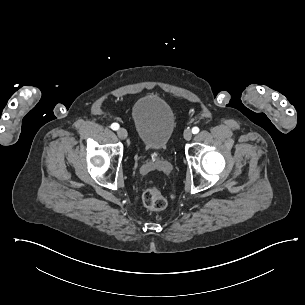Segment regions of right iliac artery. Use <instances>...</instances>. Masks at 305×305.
I'll list each match as a JSON object with an SVG mask.
<instances>
[{"mask_svg": "<svg viewBox=\"0 0 305 305\" xmlns=\"http://www.w3.org/2000/svg\"><path fill=\"white\" fill-rule=\"evenodd\" d=\"M111 128H112L113 130H117V129L119 128V124H118V123H113V124L111 125Z\"/></svg>", "mask_w": 305, "mask_h": 305, "instance_id": "obj_1", "label": "right iliac artery"}]
</instances>
